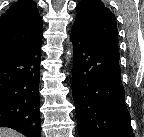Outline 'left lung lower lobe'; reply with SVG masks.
<instances>
[{
    "label": "left lung lower lobe",
    "mask_w": 144,
    "mask_h": 137,
    "mask_svg": "<svg viewBox=\"0 0 144 137\" xmlns=\"http://www.w3.org/2000/svg\"><path fill=\"white\" fill-rule=\"evenodd\" d=\"M72 93L80 137H134L124 102L119 53L72 28Z\"/></svg>",
    "instance_id": "0a47b994"
}]
</instances>
